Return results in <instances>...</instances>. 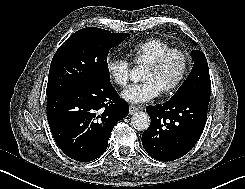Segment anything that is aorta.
<instances>
[{"mask_svg": "<svg viewBox=\"0 0 245 189\" xmlns=\"http://www.w3.org/2000/svg\"><path fill=\"white\" fill-rule=\"evenodd\" d=\"M130 79L133 82H139L141 80L140 72L138 69H133L130 72ZM132 125L138 131H145L150 125V118L146 112H136L132 117Z\"/></svg>", "mask_w": 245, "mask_h": 189, "instance_id": "obj_1", "label": "aorta"}]
</instances>
